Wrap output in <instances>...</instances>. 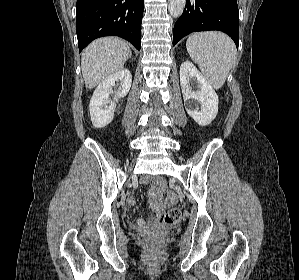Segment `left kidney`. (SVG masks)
Here are the masks:
<instances>
[{"mask_svg":"<svg viewBox=\"0 0 299 280\" xmlns=\"http://www.w3.org/2000/svg\"><path fill=\"white\" fill-rule=\"evenodd\" d=\"M191 78L197 79L199 90L192 91L189 85ZM180 85L182 88L185 108L200 126L209 125L218 113V96L206 78L190 62L185 61L180 66ZM200 103L201 110L196 107Z\"/></svg>","mask_w":299,"mask_h":280,"instance_id":"obj_1","label":"left kidney"}]
</instances>
